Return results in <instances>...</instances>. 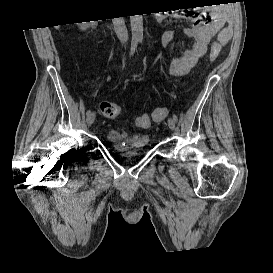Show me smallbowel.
Returning a JSON list of instances; mask_svg holds the SVG:
<instances>
[{
    "instance_id": "1",
    "label": "small bowel",
    "mask_w": 273,
    "mask_h": 273,
    "mask_svg": "<svg viewBox=\"0 0 273 273\" xmlns=\"http://www.w3.org/2000/svg\"><path fill=\"white\" fill-rule=\"evenodd\" d=\"M166 17L183 19L187 26L178 31L165 32L160 39L162 45H171L180 38L191 41L170 67V74L175 77L188 74L196 66L206 54L212 39L219 45H225L231 35L230 16L225 10L203 9L186 14L175 12L167 14Z\"/></svg>"
}]
</instances>
